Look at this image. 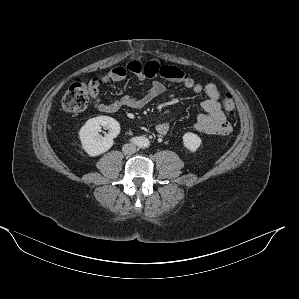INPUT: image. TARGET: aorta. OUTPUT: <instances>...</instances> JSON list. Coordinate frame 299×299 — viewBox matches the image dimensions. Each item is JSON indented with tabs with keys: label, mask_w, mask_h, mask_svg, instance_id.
I'll return each instance as SVG.
<instances>
[{
	"label": "aorta",
	"mask_w": 299,
	"mask_h": 299,
	"mask_svg": "<svg viewBox=\"0 0 299 299\" xmlns=\"http://www.w3.org/2000/svg\"><path fill=\"white\" fill-rule=\"evenodd\" d=\"M139 145H140V147H143V148L148 147L150 145V141L146 137H141L139 139Z\"/></svg>",
	"instance_id": "obj_1"
}]
</instances>
